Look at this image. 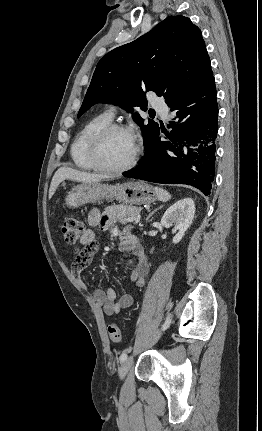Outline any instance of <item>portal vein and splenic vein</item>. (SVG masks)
Segmentation results:
<instances>
[{
	"mask_svg": "<svg viewBox=\"0 0 262 431\" xmlns=\"http://www.w3.org/2000/svg\"><path fill=\"white\" fill-rule=\"evenodd\" d=\"M128 221H129V222H134V221H135V223H138V222H139V219H138V218H136L135 216H131V217H129V218H128Z\"/></svg>",
	"mask_w": 262,
	"mask_h": 431,
	"instance_id": "1",
	"label": "portal vein and splenic vein"
}]
</instances>
